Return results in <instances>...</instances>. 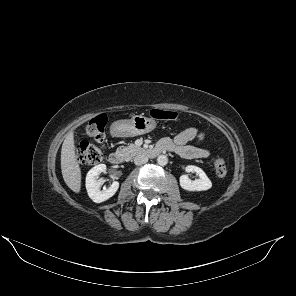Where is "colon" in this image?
Instances as JSON below:
<instances>
[{
    "label": "colon",
    "mask_w": 296,
    "mask_h": 296,
    "mask_svg": "<svg viewBox=\"0 0 296 296\" xmlns=\"http://www.w3.org/2000/svg\"><path fill=\"white\" fill-rule=\"evenodd\" d=\"M150 115L159 120H176L179 115L175 111L153 109ZM107 118L104 115H99L92 119L87 126V135L98 143H103L105 140V127ZM198 142L203 140V134L197 136ZM76 158L80 164L95 165L101 162L103 151L101 147L93 145L87 141H81L75 148ZM214 170L218 177H224L227 174V166L223 158L216 157L213 161Z\"/></svg>",
    "instance_id": "1"
}]
</instances>
